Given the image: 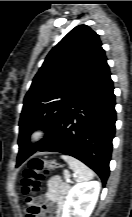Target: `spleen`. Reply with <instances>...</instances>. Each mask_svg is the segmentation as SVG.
I'll return each instance as SVG.
<instances>
[{
	"label": "spleen",
	"instance_id": "obj_1",
	"mask_svg": "<svg viewBox=\"0 0 132 217\" xmlns=\"http://www.w3.org/2000/svg\"><path fill=\"white\" fill-rule=\"evenodd\" d=\"M61 158L66 161L70 169L75 172L78 182L88 181L94 177L93 171L80 160L68 155H62Z\"/></svg>",
	"mask_w": 132,
	"mask_h": 217
}]
</instances>
